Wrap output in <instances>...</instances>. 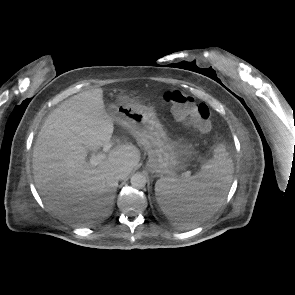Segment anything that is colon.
<instances>
[{
    "instance_id": "1",
    "label": "colon",
    "mask_w": 295,
    "mask_h": 295,
    "mask_svg": "<svg viewBox=\"0 0 295 295\" xmlns=\"http://www.w3.org/2000/svg\"><path fill=\"white\" fill-rule=\"evenodd\" d=\"M163 100L172 108L176 118L192 125L202 133H208L211 128L210 110L205 104H199L195 99L177 90H167Z\"/></svg>"
}]
</instances>
